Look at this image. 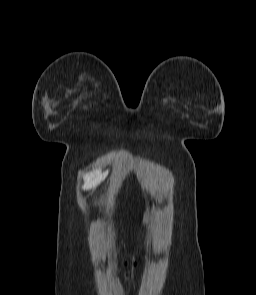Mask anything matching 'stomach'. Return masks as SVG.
Instances as JSON below:
<instances>
[{"label": "stomach", "instance_id": "stomach-1", "mask_svg": "<svg viewBox=\"0 0 256 295\" xmlns=\"http://www.w3.org/2000/svg\"><path fill=\"white\" fill-rule=\"evenodd\" d=\"M150 219V214L149 213H146L143 217V222H148Z\"/></svg>", "mask_w": 256, "mask_h": 295}]
</instances>
